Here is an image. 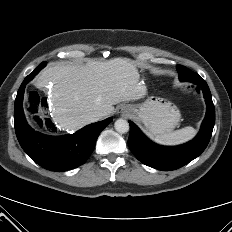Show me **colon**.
I'll use <instances>...</instances> for the list:
<instances>
[{
    "mask_svg": "<svg viewBox=\"0 0 232 232\" xmlns=\"http://www.w3.org/2000/svg\"><path fill=\"white\" fill-rule=\"evenodd\" d=\"M184 90L187 93L198 94L192 86H186ZM29 111L36 122H43L46 109V100L39 93L32 91L28 96Z\"/></svg>",
    "mask_w": 232,
    "mask_h": 232,
    "instance_id": "colon-1",
    "label": "colon"
}]
</instances>
